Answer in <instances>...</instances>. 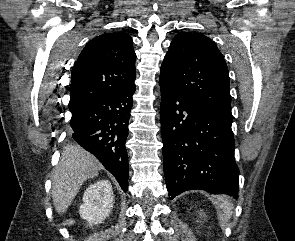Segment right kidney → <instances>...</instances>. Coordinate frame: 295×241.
<instances>
[{
  "instance_id": "right-kidney-1",
  "label": "right kidney",
  "mask_w": 295,
  "mask_h": 241,
  "mask_svg": "<svg viewBox=\"0 0 295 241\" xmlns=\"http://www.w3.org/2000/svg\"><path fill=\"white\" fill-rule=\"evenodd\" d=\"M113 201L111 183L106 179L99 180L91 184L84 192V203L80 206L79 214L89 225L100 224L109 216Z\"/></svg>"
}]
</instances>
